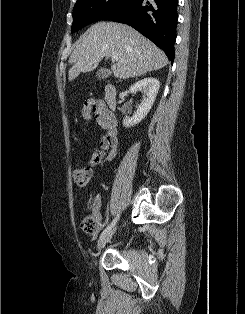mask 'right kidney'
Returning <instances> with one entry per match:
<instances>
[{"mask_svg":"<svg viewBox=\"0 0 245 314\" xmlns=\"http://www.w3.org/2000/svg\"><path fill=\"white\" fill-rule=\"evenodd\" d=\"M160 88V83L155 78H144L132 85L129 89L131 93H136L138 91L144 92V98L142 102L138 105L137 111L133 117H126L123 120V126L129 128L139 124L148 114L152 105L156 99L158 90Z\"/></svg>","mask_w":245,"mask_h":314,"instance_id":"right-kidney-1","label":"right kidney"}]
</instances>
